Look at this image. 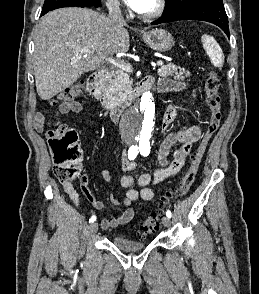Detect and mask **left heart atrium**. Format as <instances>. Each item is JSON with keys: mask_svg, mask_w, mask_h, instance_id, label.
Here are the masks:
<instances>
[{"mask_svg": "<svg viewBox=\"0 0 259 294\" xmlns=\"http://www.w3.org/2000/svg\"><path fill=\"white\" fill-rule=\"evenodd\" d=\"M146 0H124V2L133 10L140 11Z\"/></svg>", "mask_w": 259, "mask_h": 294, "instance_id": "left-heart-atrium-1", "label": "left heart atrium"}]
</instances>
